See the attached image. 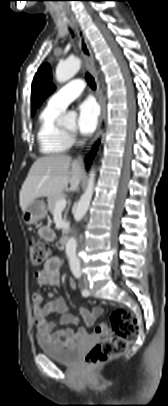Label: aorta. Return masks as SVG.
I'll return each instance as SVG.
<instances>
[{
    "instance_id": "762f6f07",
    "label": "aorta",
    "mask_w": 168,
    "mask_h": 406,
    "mask_svg": "<svg viewBox=\"0 0 168 406\" xmlns=\"http://www.w3.org/2000/svg\"><path fill=\"white\" fill-rule=\"evenodd\" d=\"M81 67V60L77 57H69L65 61L58 64L56 68V79L60 83H64L70 80L80 69ZM76 113L75 112H68L61 118V122L63 124L71 123L75 120ZM94 182H95V171H91L87 183V188L84 194L81 196L75 213L74 218L78 222L80 221L83 216L86 214L94 190ZM76 248H77V241L74 237H71L66 243V255L69 260L70 268L72 270H79L80 269V261L76 255Z\"/></svg>"
}]
</instances>
